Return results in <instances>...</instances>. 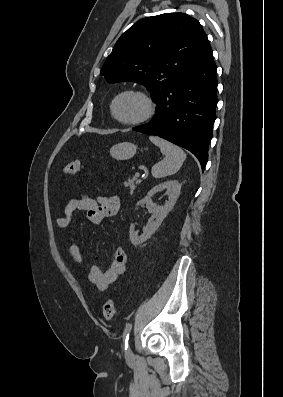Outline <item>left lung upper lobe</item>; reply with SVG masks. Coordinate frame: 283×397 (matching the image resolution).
<instances>
[{
	"label": "left lung upper lobe",
	"instance_id": "left-lung-upper-lobe-1",
	"mask_svg": "<svg viewBox=\"0 0 283 397\" xmlns=\"http://www.w3.org/2000/svg\"><path fill=\"white\" fill-rule=\"evenodd\" d=\"M210 49L202 26L189 15L147 17L118 39L100 74L110 83L138 82L158 103L180 74Z\"/></svg>",
	"mask_w": 283,
	"mask_h": 397
}]
</instances>
